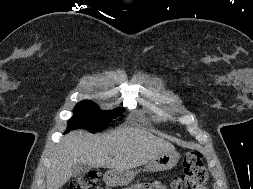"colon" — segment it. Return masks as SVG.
<instances>
[{
    "label": "colon",
    "mask_w": 253,
    "mask_h": 189,
    "mask_svg": "<svg viewBox=\"0 0 253 189\" xmlns=\"http://www.w3.org/2000/svg\"><path fill=\"white\" fill-rule=\"evenodd\" d=\"M183 173L175 178L173 189H202L208 179V174L203 163V156L199 151L187 152L183 159ZM101 173L92 170L83 175L74 177L68 189H101Z\"/></svg>",
    "instance_id": "colon-1"
}]
</instances>
